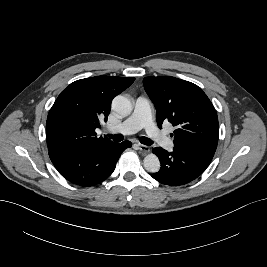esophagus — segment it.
I'll use <instances>...</instances> for the list:
<instances>
[{"instance_id": "34e87169", "label": "esophagus", "mask_w": 267, "mask_h": 267, "mask_svg": "<svg viewBox=\"0 0 267 267\" xmlns=\"http://www.w3.org/2000/svg\"><path fill=\"white\" fill-rule=\"evenodd\" d=\"M138 146V149L144 153H148L150 151V148L146 145H143V144H137Z\"/></svg>"}]
</instances>
